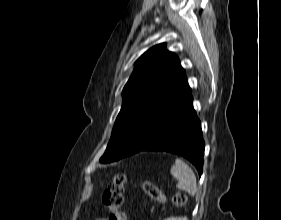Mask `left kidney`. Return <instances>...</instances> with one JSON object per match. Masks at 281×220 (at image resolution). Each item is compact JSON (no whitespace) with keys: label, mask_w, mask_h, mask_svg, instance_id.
<instances>
[{"label":"left kidney","mask_w":281,"mask_h":220,"mask_svg":"<svg viewBox=\"0 0 281 220\" xmlns=\"http://www.w3.org/2000/svg\"><path fill=\"white\" fill-rule=\"evenodd\" d=\"M164 220H188L187 217H170V218H166Z\"/></svg>","instance_id":"left-kidney-1"}]
</instances>
